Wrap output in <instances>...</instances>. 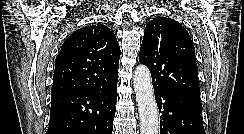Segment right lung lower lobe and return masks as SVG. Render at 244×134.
<instances>
[{"label":"right lung lower lobe","mask_w":244,"mask_h":134,"mask_svg":"<svg viewBox=\"0 0 244 134\" xmlns=\"http://www.w3.org/2000/svg\"><path fill=\"white\" fill-rule=\"evenodd\" d=\"M117 78L95 90L52 98L46 134H112Z\"/></svg>","instance_id":"1"}]
</instances>
